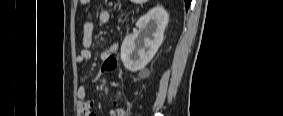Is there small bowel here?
Here are the masks:
<instances>
[{"instance_id": "small-bowel-1", "label": "small bowel", "mask_w": 283, "mask_h": 116, "mask_svg": "<svg viewBox=\"0 0 283 116\" xmlns=\"http://www.w3.org/2000/svg\"><path fill=\"white\" fill-rule=\"evenodd\" d=\"M81 3L83 5H88L90 1L81 0ZM109 19H110V15L108 11L102 10L99 12L98 21L101 24L108 23ZM92 35H93V25L91 22L87 21L84 24V29H83L82 38H81L82 49L76 58V61L79 64H84L92 58V50H91ZM117 49H118V44L114 43L102 52L101 54V59L103 60V64L101 67L102 72H110L115 69L116 67L115 58L110 55L114 53ZM77 95L80 99V102H79L80 114L94 116L95 114L92 111V107L94 106L95 101L92 99H87V93H86L85 87L83 86L79 87ZM112 106H113V109L111 110L112 116L127 115L126 110L118 107L117 100H113Z\"/></svg>"}]
</instances>
